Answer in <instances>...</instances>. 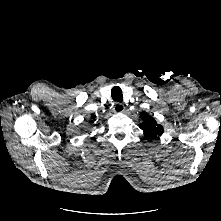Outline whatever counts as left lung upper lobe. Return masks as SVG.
Wrapping results in <instances>:
<instances>
[{"instance_id": "5c2ea615", "label": "left lung upper lobe", "mask_w": 221, "mask_h": 221, "mask_svg": "<svg viewBox=\"0 0 221 221\" xmlns=\"http://www.w3.org/2000/svg\"><path fill=\"white\" fill-rule=\"evenodd\" d=\"M142 123L139 127L143 130L144 135L149 138H155L157 135L163 133V127L155 121V119L148 113L143 112L140 114Z\"/></svg>"}]
</instances>
